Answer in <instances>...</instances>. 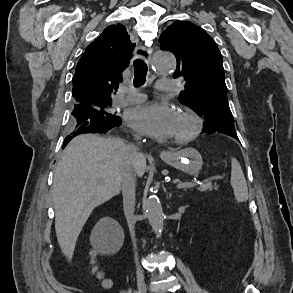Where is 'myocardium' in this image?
<instances>
[{"label": "myocardium", "instance_id": "1", "mask_svg": "<svg viewBox=\"0 0 293 293\" xmlns=\"http://www.w3.org/2000/svg\"><path fill=\"white\" fill-rule=\"evenodd\" d=\"M177 115L188 120L191 123V128L186 134L175 136L173 138V141L175 143L183 144L194 140L202 130V120L200 119V117L196 113L188 109L179 110L177 112Z\"/></svg>", "mask_w": 293, "mask_h": 293}]
</instances>
